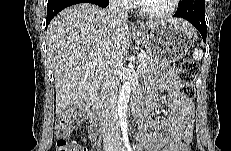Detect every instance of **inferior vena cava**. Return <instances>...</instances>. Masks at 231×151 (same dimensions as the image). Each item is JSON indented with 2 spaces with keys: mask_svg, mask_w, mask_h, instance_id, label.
Here are the masks:
<instances>
[{
  "mask_svg": "<svg viewBox=\"0 0 231 151\" xmlns=\"http://www.w3.org/2000/svg\"><path fill=\"white\" fill-rule=\"evenodd\" d=\"M108 11L118 20L126 21L128 14L123 8L121 0H110ZM118 78L115 69H110L104 82L102 125L104 128V144L118 145L120 142V128L117 114Z\"/></svg>",
  "mask_w": 231,
  "mask_h": 151,
  "instance_id": "1",
  "label": "inferior vena cava"
}]
</instances>
